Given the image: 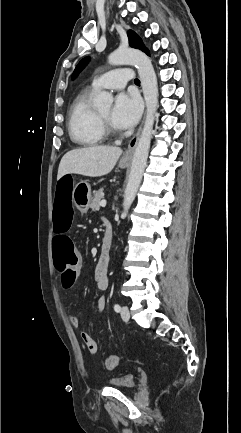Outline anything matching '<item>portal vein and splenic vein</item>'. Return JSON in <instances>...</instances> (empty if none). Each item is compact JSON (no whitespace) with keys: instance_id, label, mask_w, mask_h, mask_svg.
Instances as JSON below:
<instances>
[{"instance_id":"portal-vein-and-splenic-vein-1","label":"portal vein and splenic vein","mask_w":241,"mask_h":433,"mask_svg":"<svg viewBox=\"0 0 241 433\" xmlns=\"http://www.w3.org/2000/svg\"><path fill=\"white\" fill-rule=\"evenodd\" d=\"M100 206H101V207H105V206H106V200H102V201L100 202Z\"/></svg>"}]
</instances>
